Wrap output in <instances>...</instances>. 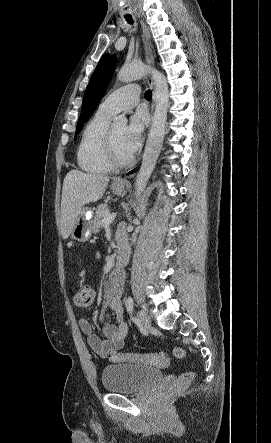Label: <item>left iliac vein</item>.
<instances>
[{
    "instance_id": "4c4485c4",
    "label": "left iliac vein",
    "mask_w": 271,
    "mask_h": 443,
    "mask_svg": "<svg viewBox=\"0 0 271 443\" xmlns=\"http://www.w3.org/2000/svg\"><path fill=\"white\" fill-rule=\"evenodd\" d=\"M138 317H139V321H140L141 326L144 329H149L151 326V319H150V316L148 315V313L145 312L144 310H140L138 312Z\"/></svg>"
}]
</instances>
